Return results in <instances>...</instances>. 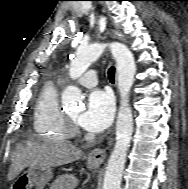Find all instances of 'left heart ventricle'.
<instances>
[{"label": "left heart ventricle", "mask_w": 188, "mask_h": 189, "mask_svg": "<svg viewBox=\"0 0 188 189\" xmlns=\"http://www.w3.org/2000/svg\"><path fill=\"white\" fill-rule=\"evenodd\" d=\"M68 115L73 118L74 120H76L79 116V111H73V112H70L68 113Z\"/></svg>", "instance_id": "b2bd125f"}]
</instances>
